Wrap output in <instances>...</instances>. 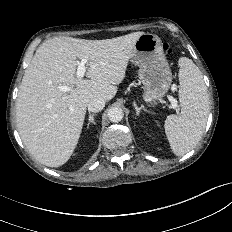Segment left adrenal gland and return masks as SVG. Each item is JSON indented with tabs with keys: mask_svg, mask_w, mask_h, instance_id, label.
Listing matches in <instances>:
<instances>
[{
	"mask_svg": "<svg viewBox=\"0 0 232 232\" xmlns=\"http://www.w3.org/2000/svg\"><path fill=\"white\" fill-rule=\"evenodd\" d=\"M133 106H134V108L136 110L137 115H140L141 110L145 111V109L143 107H138L135 101L133 102Z\"/></svg>",
	"mask_w": 232,
	"mask_h": 232,
	"instance_id": "1",
	"label": "left adrenal gland"
}]
</instances>
